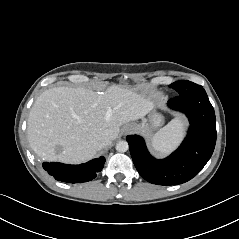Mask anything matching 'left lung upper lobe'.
I'll list each match as a JSON object with an SVG mask.
<instances>
[{"mask_svg": "<svg viewBox=\"0 0 239 239\" xmlns=\"http://www.w3.org/2000/svg\"><path fill=\"white\" fill-rule=\"evenodd\" d=\"M170 87L175 89L178 92V95L187 94L203 88L202 86L187 80L177 81L171 84Z\"/></svg>", "mask_w": 239, "mask_h": 239, "instance_id": "5c2ea615", "label": "left lung upper lobe"}]
</instances>
